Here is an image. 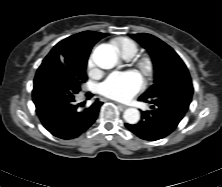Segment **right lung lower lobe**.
Returning a JSON list of instances; mask_svg holds the SVG:
<instances>
[{
  "instance_id": "98d812e1",
  "label": "right lung lower lobe",
  "mask_w": 222,
  "mask_h": 187,
  "mask_svg": "<svg viewBox=\"0 0 222 187\" xmlns=\"http://www.w3.org/2000/svg\"><path fill=\"white\" fill-rule=\"evenodd\" d=\"M80 84L59 61L38 69L32 92L37 115L43 126L61 139L78 137L96 120L102 102L89 107L76 103ZM87 99L93 96L86 94Z\"/></svg>"
}]
</instances>
